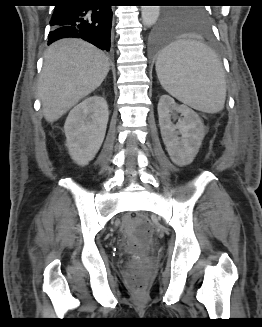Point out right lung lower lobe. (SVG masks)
<instances>
[{
  "label": "right lung lower lobe",
  "mask_w": 262,
  "mask_h": 327,
  "mask_svg": "<svg viewBox=\"0 0 262 327\" xmlns=\"http://www.w3.org/2000/svg\"><path fill=\"white\" fill-rule=\"evenodd\" d=\"M50 25L48 44L66 37L82 38L98 48L110 50L111 6L105 0H59Z\"/></svg>",
  "instance_id": "obj_1"
}]
</instances>
